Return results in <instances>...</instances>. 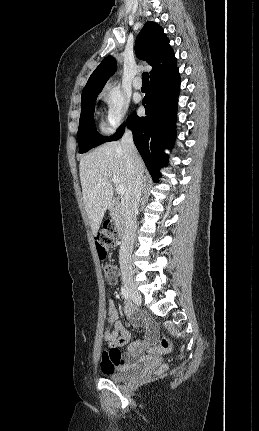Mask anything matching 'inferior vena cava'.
I'll list each match as a JSON object with an SVG mask.
<instances>
[{"label": "inferior vena cava", "instance_id": "602c4592", "mask_svg": "<svg viewBox=\"0 0 259 431\" xmlns=\"http://www.w3.org/2000/svg\"><path fill=\"white\" fill-rule=\"evenodd\" d=\"M121 145L123 148L126 165L131 175V185L126 192L122 204L124 225L122 241L119 250V261L121 266L129 265L133 251L135 232L137 227L136 210L139 205L143 189V172L141 169V158L136 150L133 135L130 130L125 131Z\"/></svg>", "mask_w": 259, "mask_h": 431}]
</instances>
